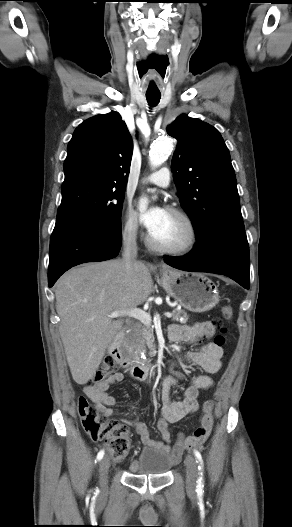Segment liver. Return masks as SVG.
Listing matches in <instances>:
<instances>
[{
  "mask_svg": "<svg viewBox=\"0 0 292 527\" xmlns=\"http://www.w3.org/2000/svg\"><path fill=\"white\" fill-rule=\"evenodd\" d=\"M164 268L167 266L163 265ZM153 291L148 267L134 260L127 272L122 259L73 268L55 284L59 332L73 380L86 384L95 375L123 320L114 311L143 304Z\"/></svg>",
  "mask_w": 292,
  "mask_h": 527,
  "instance_id": "6515ba94",
  "label": "liver"
}]
</instances>
